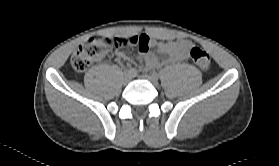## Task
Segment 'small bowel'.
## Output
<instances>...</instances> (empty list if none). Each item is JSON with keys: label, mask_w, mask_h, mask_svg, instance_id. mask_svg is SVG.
<instances>
[{"label": "small bowel", "mask_w": 279, "mask_h": 166, "mask_svg": "<svg viewBox=\"0 0 279 166\" xmlns=\"http://www.w3.org/2000/svg\"><path fill=\"white\" fill-rule=\"evenodd\" d=\"M144 38V44H134L139 47V55L137 60H143L147 69H155L167 63L178 62L186 59L193 44L191 41L181 39L177 41H158L150 38L146 34H139L131 36L128 39H141ZM156 50L161 54L167 55L166 60H160L152 50ZM115 55L119 60H128V56L121 50H116Z\"/></svg>", "instance_id": "obj_1"}]
</instances>
